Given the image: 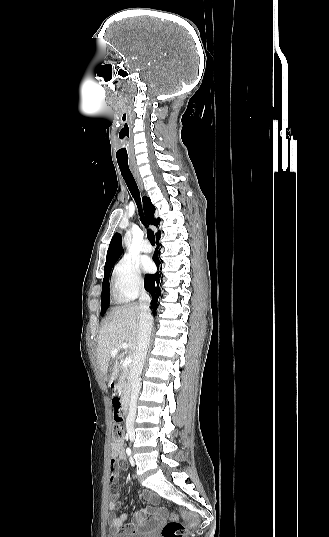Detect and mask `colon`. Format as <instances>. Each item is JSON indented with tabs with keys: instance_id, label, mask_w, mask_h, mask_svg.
Wrapping results in <instances>:
<instances>
[{
	"instance_id": "1",
	"label": "colon",
	"mask_w": 329,
	"mask_h": 537,
	"mask_svg": "<svg viewBox=\"0 0 329 537\" xmlns=\"http://www.w3.org/2000/svg\"><path fill=\"white\" fill-rule=\"evenodd\" d=\"M114 403H117V399H112V405ZM113 414V411H112ZM124 430L121 425V423L116 424L114 423L112 427V441L113 443H120L123 440ZM170 520L164 525L161 531L162 537H184L186 528L185 526L178 521L180 520H186V519H193L196 520L199 518L200 513L198 510H186V509H173L169 513Z\"/></svg>"
}]
</instances>
